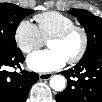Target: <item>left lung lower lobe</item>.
<instances>
[{
	"label": "left lung lower lobe",
	"mask_w": 102,
	"mask_h": 102,
	"mask_svg": "<svg viewBox=\"0 0 102 102\" xmlns=\"http://www.w3.org/2000/svg\"><path fill=\"white\" fill-rule=\"evenodd\" d=\"M61 73L68 83L66 89L56 95L57 102L102 101V53L83 57L74 69Z\"/></svg>",
	"instance_id": "left-lung-lower-lobe-1"
}]
</instances>
